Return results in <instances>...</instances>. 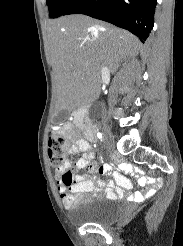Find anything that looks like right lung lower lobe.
Returning a JSON list of instances; mask_svg holds the SVG:
<instances>
[{
    "label": "right lung lower lobe",
    "instance_id": "98d812e1",
    "mask_svg": "<svg viewBox=\"0 0 183 246\" xmlns=\"http://www.w3.org/2000/svg\"><path fill=\"white\" fill-rule=\"evenodd\" d=\"M156 0H75L63 15L84 14L135 34L142 43L154 24Z\"/></svg>",
    "mask_w": 183,
    "mask_h": 246
}]
</instances>
